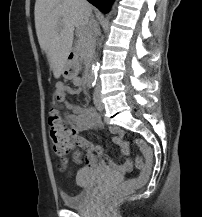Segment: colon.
Masks as SVG:
<instances>
[{
    "label": "colon",
    "instance_id": "1",
    "mask_svg": "<svg viewBox=\"0 0 202 217\" xmlns=\"http://www.w3.org/2000/svg\"><path fill=\"white\" fill-rule=\"evenodd\" d=\"M49 124V138L54 153L61 159L62 167L67 168L69 166V155L74 152L79 155V151L75 150V142L68 133L67 126L56 109H51L48 117ZM136 145L144 154L146 161L140 158L136 159V164L140 168V174L137 177L130 178L126 182L117 185L109 192L102 200L104 205L114 204L122 195L140 188L151 177L152 174V162L153 152L151 147L142 139L136 140Z\"/></svg>",
    "mask_w": 202,
    "mask_h": 217
}]
</instances>
